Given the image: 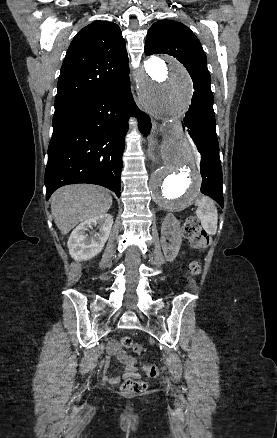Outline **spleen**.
<instances>
[{
  "label": "spleen",
  "instance_id": "3e777b00",
  "mask_svg": "<svg viewBox=\"0 0 277 438\" xmlns=\"http://www.w3.org/2000/svg\"><path fill=\"white\" fill-rule=\"evenodd\" d=\"M196 216L199 218L202 228L207 234L215 236L217 232V208L210 198H201L200 204L196 210Z\"/></svg>",
  "mask_w": 277,
  "mask_h": 438
}]
</instances>
